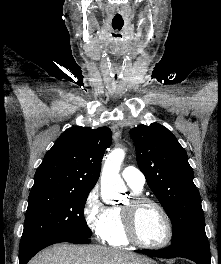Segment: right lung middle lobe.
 <instances>
[{
	"mask_svg": "<svg viewBox=\"0 0 221 264\" xmlns=\"http://www.w3.org/2000/svg\"><path fill=\"white\" fill-rule=\"evenodd\" d=\"M90 191L44 189L30 192L19 250L34 243L67 238H90L84 219Z\"/></svg>",
	"mask_w": 221,
	"mask_h": 264,
	"instance_id": "dd1d6c3e",
	"label": "right lung middle lobe"
}]
</instances>
